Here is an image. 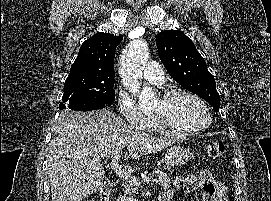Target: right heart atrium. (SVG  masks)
<instances>
[{
  "label": "right heart atrium",
  "mask_w": 271,
  "mask_h": 201,
  "mask_svg": "<svg viewBox=\"0 0 271 201\" xmlns=\"http://www.w3.org/2000/svg\"><path fill=\"white\" fill-rule=\"evenodd\" d=\"M120 111L129 126L147 129L152 124L153 117L142 112L134 101L125 94L118 98Z\"/></svg>",
  "instance_id": "obj_1"
}]
</instances>
